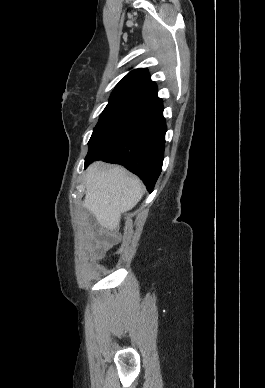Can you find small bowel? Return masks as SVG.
Returning a JSON list of instances; mask_svg holds the SVG:
<instances>
[{
  "label": "small bowel",
  "mask_w": 265,
  "mask_h": 388,
  "mask_svg": "<svg viewBox=\"0 0 265 388\" xmlns=\"http://www.w3.org/2000/svg\"><path fill=\"white\" fill-rule=\"evenodd\" d=\"M109 237L111 239H116L117 235L114 232H111ZM108 247H109V243L107 241L99 242V243H97V245L95 246V248L93 250L94 254L96 256H100L107 250Z\"/></svg>",
  "instance_id": "obj_1"
}]
</instances>
